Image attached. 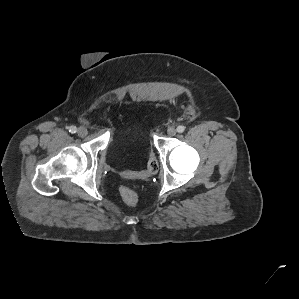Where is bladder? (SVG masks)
Here are the masks:
<instances>
[{
  "instance_id": "obj_1",
  "label": "bladder",
  "mask_w": 299,
  "mask_h": 299,
  "mask_svg": "<svg viewBox=\"0 0 299 299\" xmlns=\"http://www.w3.org/2000/svg\"><path fill=\"white\" fill-rule=\"evenodd\" d=\"M146 146L145 138L141 132H132L130 134L117 132L112 137L109 148L114 151L124 149L128 154H135L143 150Z\"/></svg>"
}]
</instances>
